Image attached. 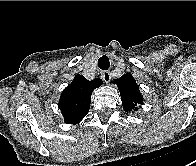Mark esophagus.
Returning <instances> with one entry per match:
<instances>
[{"instance_id":"obj_1","label":"esophagus","mask_w":196,"mask_h":166,"mask_svg":"<svg viewBox=\"0 0 196 166\" xmlns=\"http://www.w3.org/2000/svg\"><path fill=\"white\" fill-rule=\"evenodd\" d=\"M101 76H102L103 80H104L106 83H109V82H110V80H111V74H110L109 71H104V72H102Z\"/></svg>"}]
</instances>
